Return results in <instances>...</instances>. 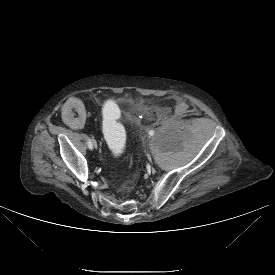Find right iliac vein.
<instances>
[{"label":"right iliac vein","mask_w":275,"mask_h":275,"mask_svg":"<svg viewBox=\"0 0 275 275\" xmlns=\"http://www.w3.org/2000/svg\"><path fill=\"white\" fill-rule=\"evenodd\" d=\"M93 146L96 148L97 147V142L95 140H93Z\"/></svg>","instance_id":"1"}]
</instances>
